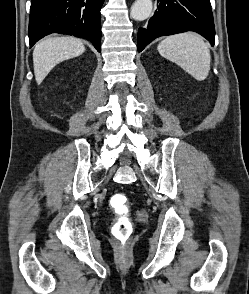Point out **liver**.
Returning a JSON list of instances; mask_svg holds the SVG:
<instances>
[{
  "instance_id": "1",
  "label": "liver",
  "mask_w": 249,
  "mask_h": 294,
  "mask_svg": "<svg viewBox=\"0 0 249 294\" xmlns=\"http://www.w3.org/2000/svg\"><path fill=\"white\" fill-rule=\"evenodd\" d=\"M85 46L74 37H50L35 45L33 65L35 80L41 84L48 73L60 62L84 53Z\"/></svg>"
}]
</instances>
